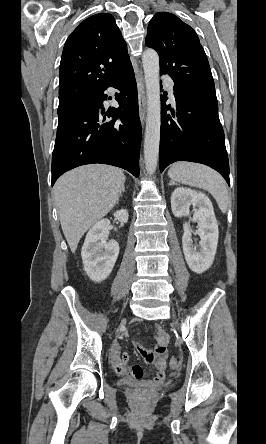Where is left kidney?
Wrapping results in <instances>:
<instances>
[{"label": "left kidney", "mask_w": 266, "mask_h": 444, "mask_svg": "<svg viewBox=\"0 0 266 444\" xmlns=\"http://www.w3.org/2000/svg\"><path fill=\"white\" fill-rule=\"evenodd\" d=\"M195 209L193 220L198 223L196 234L200 237L199 249L193 245L192 230L189 223H184L182 245L186 262L195 273H203L211 267L216 254L218 244V224L212 203L208 196L202 192L178 187L171 196V208L176 217H182L189 213V207Z\"/></svg>", "instance_id": "left-kidney-1"}]
</instances>
